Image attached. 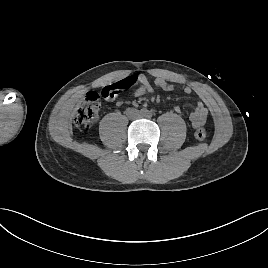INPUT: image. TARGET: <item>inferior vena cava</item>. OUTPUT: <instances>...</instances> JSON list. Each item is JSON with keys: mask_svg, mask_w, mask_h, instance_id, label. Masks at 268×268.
<instances>
[{"mask_svg": "<svg viewBox=\"0 0 268 268\" xmlns=\"http://www.w3.org/2000/svg\"><path fill=\"white\" fill-rule=\"evenodd\" d=\"M128 116L131 118V119H136L139 114H138V111L134 110V111H129L128 112Z\"/></svg>", "mask_w": 268, "mask_h": 268, "instance_id": "602c4592", "label": "inferior vena cava"}]
</instances>
